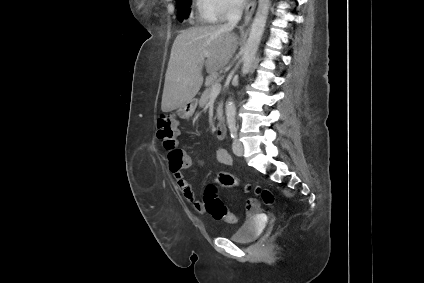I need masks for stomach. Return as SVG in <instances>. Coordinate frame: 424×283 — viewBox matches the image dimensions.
Here are the masks:
<instances>
[{
  "label": "stomach",
  "instance_id": "0dacf381",
  "mask_svg": "<svg viewBox=\"0 0 424 283\" xmlns=\"http://www.w3.org/2000/svg\"><path fill=\"white\" fill-rule=\"evenodd\" d=\"M195 108H196V103L194 100H192L189 103L179 107L177 110V115L181 119L187 120L193 115Z\"/></svg>",
  "mask_w": 424,
  "mask_h": 283
}]
</instances>
